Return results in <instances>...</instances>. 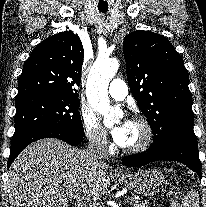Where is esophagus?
I'll return each instance as SVG.
<instances>
[{
	"mask_svg": "<svg viewBox=\"0 0 206 207\" xmlns=\"http://www.w3.org/2000/svg\"><path fill=\"white\" fill-rule=\"evenodd\" d=\"M115 172L120 173V172H122V170L117 168V169L115 170Z\"/></svg>",
	"mask_w": 206,
	"mask_h": 207,
	"instance_id": "1",
	"label": "esophagus"
}]
</instances>
